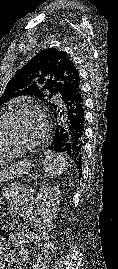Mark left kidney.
<instances>
[{
    "label": "left kidney",
    "instance_id": "left-kidney-1",
    "mask_svg": "<svg viewBox=\"0 0 118 269\" xmlns=\"http://www.w3.org/2000/svg\"><path fill=\"white\" fill-rule=\"evenodd\" d=\"M61 192L58 187L41 186L36 197V209L40 219L51 227L57 218Z\"/></svg>",
    "mask_w": 118,
    "mask_h": 269
}]
</instances>
